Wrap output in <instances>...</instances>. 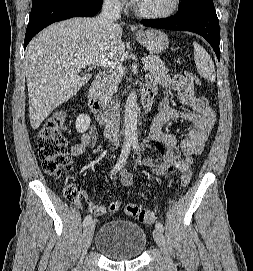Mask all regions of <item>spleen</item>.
Listing matches in <instances>:
<instances>
[{"mask_svg": "<svg viewBox=\"0 0 253 271\" xmlns=\"http://www.w3.org/2000/svg\"><path fill=\"white\" fill-rule=\"evenodd\" d=\"M194 60L197 66L198 73L207 81L214 82L216 79L215 66L206 50L194 42Z\"/></svg>", "mask_w": 253, "mask_h": 271, "instance_id": "3e777b00", "label": "spleen"}]
</instances>
